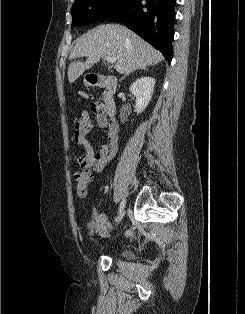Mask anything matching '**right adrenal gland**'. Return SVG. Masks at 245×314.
Masks as SVG:
<instances>
[{
  "label": "right adrenal gland",
  "mask_w": 245,
  "mask_h": 314,
  "mask_svg": "<svg viewBox=\"0 0 245 314\" xmlns=\"http://www.w3.org/2000/svg\"><path fill=\"white\" fill-rule=\"evenodd\" d=\"M125 77H126V76L122 77V78L120 79V81L123 80Z\"/></svg>",
  "instance_id": "1"
}]
</instances>
